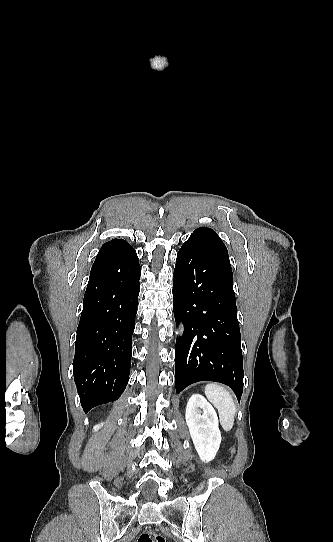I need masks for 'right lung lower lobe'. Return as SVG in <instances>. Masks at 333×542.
<instances>
[{
    "instance_id": "obj_1",
    "label": "right lung lower lobe",
    "mask_w": 333,
    "mask_h": 542,
    "mask_svg": "<svg viewBox=\"0 0 333 542\" xmlns=\"http://www.w3.org/2000/svg\"><path fill=\"white\" fill-rule=\"evenodd\" d=\"M140 274L136 251L124 240L103 245L91 268L73 361L85 412L117 400L128 383Z\"/></svg>"
}]
</instances>
